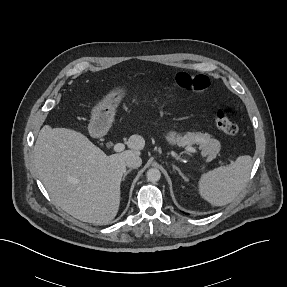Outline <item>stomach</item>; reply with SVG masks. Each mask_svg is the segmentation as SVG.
<instances>
[{"label":"stomach","mask_w":287,"mask_h":287,"mask_svg":"<svg viewBox=\"0 0 287 287\" xmlns=\"http://www.w3.org/2000/svg\"><path fill=\"white\" fill-rule=\"evenodd\" d=\"M126 93L127 88L125 86H117L104 96L91 111L89 129L98 133L106 132L111 127L116 109ZM179 137L174 131H170L166 135L167 141L173 145L178 144Z\"/></svg>","instance_id":"0dacf381"}]
</instances>
